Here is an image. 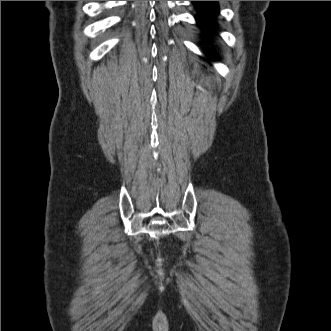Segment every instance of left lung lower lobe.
I'll list each match as a JSON object with an SVG mask.
<instances>
[{
	"label": "left lung lower lobe",
	"instance_id": "obj_1",
	"mask_svg": "<svg viewBox=\"0 0 331 331\" xmlns=\"http://www.w3.org/2000/svg\"><path fill=\"white\" fill-rule=\"evenodd\" d=\"M198 11L196 20L202 28L210 29L214 27V17L218 13L217 1H192Z\"/></svg>",
	"mask_w": 331,
	"mask_h": 331
}]
</instances>
